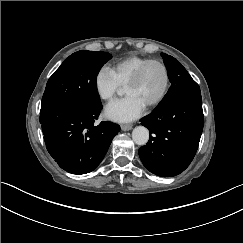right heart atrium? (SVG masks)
Masks as SVG:
<instances>
[{
    "instance_id": "obj_1",
    "label": "right heart atrium",
    "mask_w": 243,
    "mask_h": 243,
    "mask_svg": "<svg viewBox=\"0 0 243 243\" xmlns=\"http://www.w3.org/2000/svg\"><path fill=\"white\" fill-rule=\"evenodd\" d=\"M94 90L100 100H111L119 91L120 85L108 65L100 66L94 75Z\"/></svg>"
}]
</instances>
